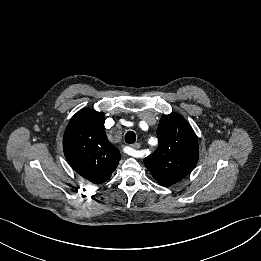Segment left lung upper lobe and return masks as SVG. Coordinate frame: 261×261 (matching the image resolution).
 I'll use <instances>...</instances> for the list:
<instances>
[{"label":"left lung upper lobe","instance_id":"left-lung-upper-lobe-1","mask_svg":"<svg viewBox=\"0 0 261 261\" xmlns=\"http://www.w3.org/2000/svg\"><path fill=\"white\" fill-rule=\"evenodd\" d=\"M159 146L144 159L156 181L170 186L182 180L195 167L199 157L196 134L180 115H163L157 129Z\"/></svg>","mask_w":261,"mask_h":261}]
</instances>
